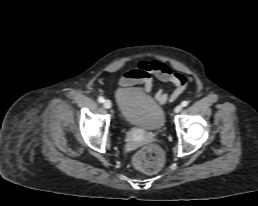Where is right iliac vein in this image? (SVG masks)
<instances>
[{
    "mask_svg": "<svg viewBox=\"0 0 258 206\" xmlns=\"http://www.w3.org/2000/svg\"><path fill=\"white\" fill-rule=\"evenodd\" d=\"M103 106H104L106 109H110V108L112 107V103H111L110 100H104Z\"/></svg>",
    "mask_w": 258,
    "mask_h": 206,
    "instance_id": "obj_1",
    "label": "right iliac vein"
}]
</instances>
